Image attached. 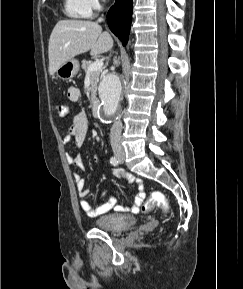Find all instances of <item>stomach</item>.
Segmentation results:
<instances>
[{"instance_id": "1", "label": "stomach", "mask_w": 243, "mask_h": 289, "mask_svg": "<svg viewBox=\"0 0 243 289\" xmlns=\"http://www.w3.org/2000/svg\"><path fill=\"white\" fill-rule=\"evenodd\" d=\"M79 71L78 60L72 58L63 63L56 71L57 76L63 80H68L74 77Z\"/></svg>"}]
</instances>
